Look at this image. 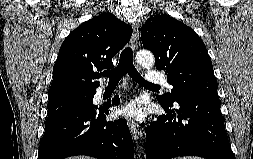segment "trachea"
<instances>
[{
    "label": "trachea",
    "instance_id": "3493384b",
    "mask_svg": "<svg viewBox=\"0 0 253 159\" xmlns=\"http://www.w3.org/2000/svg\"><path fill=\"white\" fill-rule=\"evenodd\" d=\"M128 75L139 85L146 88H159V86L149 84L136 70L133 64V51L126 47L120 54L118 65L111 70L104 71L103 75L109 77V82H119L121 78Z\"/></svg>",
    "mask_w": 253,
    "mask_h": 159
}]
</instances>
